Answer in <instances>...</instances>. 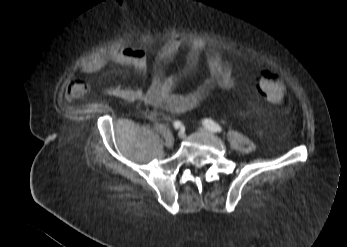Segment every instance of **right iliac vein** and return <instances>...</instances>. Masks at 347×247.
<instances>
[{
	"label": "right iliac vein",
	"instance_id": "63e3f726",
	"mask_svg": "<svg viewBox=\"0 0 347 247\" xmlns=\"http://www.w3.org/2000/svg\"><path fill=\"white\" fill-rule=\"evenodd\" d=\"M178 137H179L180 139H183V138L185 137L184 131H179V132H178Z\"/></svg>",
	"mask_w": 347,
	"mask_h": 247
}]
</instances>
